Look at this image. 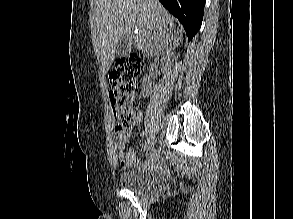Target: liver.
Returning <instances> with one entry per match:
<instances>
[{
  "instance_id": "1",
  "label": "liver",
  "mask_w": 293,
  "mask_h": 219,
  "mask_svg": "<svg viewBox=\"0 0 293 219\" xmlns=\"http://www.w3.org/2000/svg\"><path fill=\"white\" fill-rule=\"evenodd\" d=\"M158 0H96L93 46L107 72L121 37L132 35L146 57L163 55L182 41V30ZM138 30L134 34V30Z\"/></svg>"
}]
</instances>
